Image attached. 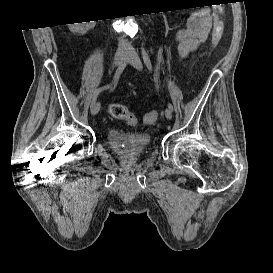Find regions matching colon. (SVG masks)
<instances>
[{"label":"colon","mask_w":273,"mask_h":273,"mask_svg":"<svg viewBox=\"0 0 273 273\" xmlns=\"http://www.w3.org/2000/svg\"><path fill=\"white\" fill-rule=\"evenodd\" d=\"M223 27L220 23L216 22L212 33V42L214 46H217L222 37ZM109 114L119 120L125 121L128 125H135L137 123L135 115L123 104L112 103L108 107ZM158 116L157 111H150L145 116V123H153Z\"/></svg>","instance_id":"colon-1"}]
</instances>
